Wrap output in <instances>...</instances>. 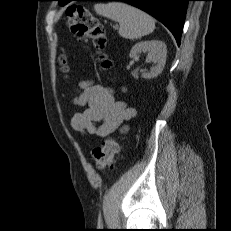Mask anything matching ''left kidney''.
Here are the masks:
<instances>
[{
  "label": "left kidney",
  "mask_w": 231,
  "mask_h": 231,
  "mask_svg": "<svg viewBox=\"0 0 231 231\" xmlns=\"http://www.w3.org/2000/svg\"><path fill=\"white\" fill-rule=\"evenodd\" d=\"M141 52H147V60L155 64L150 72L143 73V77L146 79L157 77L166 63L167 47L165 43L158 40L139 42L132 47L129 57L136 58Z\"/></svg>",
  "instance_id": "left-kidney-1"
}]
</instances>
